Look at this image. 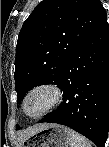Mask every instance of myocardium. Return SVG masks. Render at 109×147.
Returning <instances> with one entry per match:
<instances>
[{
  "label": "myocardium",
  "mask_w": 109,
  "mask_h": 147,
  "mask_svg": "<svg viewBox=\"0 0 109 147\" xmlns=\"http://www.w3.org/2000/svg\"><path fill=\"white\" fill-rule=\"evenodd\" d=\"M37 92L48 93L50 95V101L41 112H39L36 115H32L27 110V100L32 94L37 93ZM62 97H63V92L58 85H56L54 83H50V82L49 83H42V84H39V85L33 87L25 95L24 100H23V110L28 116H30L32 118H39V117L44 116L45 114L51 112L56 106H58V104L62 100Z\"/></svg>",
  "instance_id": "obj_1"
}]
</instances>
